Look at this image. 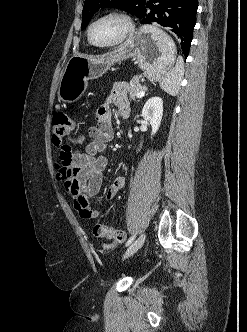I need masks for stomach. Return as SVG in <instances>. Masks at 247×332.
I'll use <instances>...</instances> for the list:
<instances>
[{"label": "stomach", "mask_w": 247, "mask_h": 332, "mask_svg": "<svg viewBox=\"0 0 247 332\" xmlns=\"http://www.w3.org/2000/svg\"><path fill=\"white\" fill-rule=\"evenodd\" d=\"M135 57L151 81L164 78L175 63L176 47L173 40L155 25H145L119 49L101 59L73 56L62 73L58 99L74 103L85 93L88 80L101 77L110 67L127 58Z\"/></svg>", "instance_id": "obj_1"}]
</instances>
